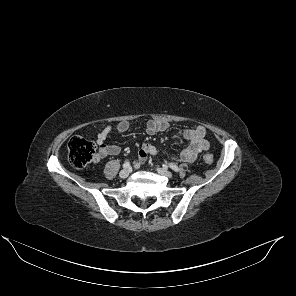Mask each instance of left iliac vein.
Listing matches in <instances>:
<instances>
[{
    "mask_svg": "<svg viewBox=\"0 0 296 296\" xmlns=\"http://www.w3.org/2000/svg\"><path fill=\"white\" fill-rule=\"evenodd\" d=\"M157 172L167 178H171L173 176L170 171L164 168H157Z\"/></svg>",
    "mask_w": 296,
    "mask_h": 296,
    "instance_id": "4c4485c4",
    "label": "left iliac vein"
}]
</instances>
